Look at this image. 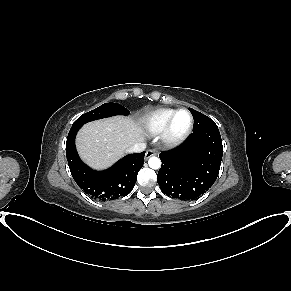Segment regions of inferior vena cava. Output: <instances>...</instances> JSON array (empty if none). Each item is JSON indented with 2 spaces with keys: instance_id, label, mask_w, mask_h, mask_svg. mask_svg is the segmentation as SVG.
Returning a JSON list of instances; mask_svg holds the SVG:
<instances>
[{
  "instance_id": "1",
  "label": "inferior vena cava",
  "mask_w": 291,
  "mask_h": 291,
  "mask_svg": "<svg viewBox=\"0 0 291 291\" xmlns=\"http://www.w3.org/2000/svg\"><path fill=\"white\" fill-rule=\"evenodd\" d=\"M146 149V144L143 142L135 143L133 146H131L128 149V152L130 153H139L143 152Z\"/></svg>"
}]
</instances>
